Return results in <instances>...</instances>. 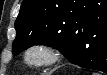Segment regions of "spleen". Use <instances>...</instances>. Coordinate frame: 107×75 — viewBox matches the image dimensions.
I'll list each match as a JSON object with an SVG mask.
<instances>
[{
  "label": "spleen",
  "mask_w": 107,
  "mask_h": 75,
  "mask_svg": "<svg viewBox=\"0 0 107 75\" xmlns=\"http://www.w3.org/2000/svg\"><path fill=\"white\" fill-rule=\"evenodd\" d=\"M93 75H100L99 73H93Z\"/></svg>",
  "instance_id": "spleen-1"
}]
</instances>
